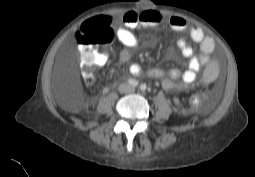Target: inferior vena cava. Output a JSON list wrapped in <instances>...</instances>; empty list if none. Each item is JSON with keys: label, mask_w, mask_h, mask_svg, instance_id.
<instances>
[{"label": "inferior vena cava", "mask_w": 255, "mask_h": 177, "mask_svg": "<svg viewBox=\"0 0 255 177\" xmlns=\"http://www.w3.org/2000/svg\"><path fill=\"white\" fill-rule=\"evenodd\" d=\"M121 92H124V93H129V92H132L133 91V87H131L130 85L128 84H125L122 86V88L120 89Z\"/></svg>", "instance_id": "602c4592"}]
</instances>
